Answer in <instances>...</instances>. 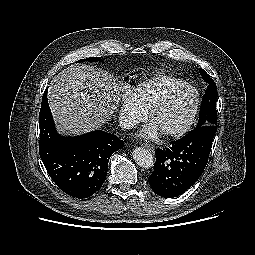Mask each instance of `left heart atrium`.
I'll return each instance as SVG.
<instances>
[{"mask_svg":"<svg viewBox=\"0 0 255 255\" xmlns=\"http://www.w3.org/2000/svg\"><path fill=\"white\" fill-rule=\"evenodd\" d=\"M159 133V129L157 128V126L152 123L150 124L149 126H147L146 128H144L139 136L142 137V138H145V139H153L155 137H157Z\"/></svg>","mask_w":255,"mask_h":255,"instance_id":"39dd6f15","label":"left heart atrium"}]
</instances>
